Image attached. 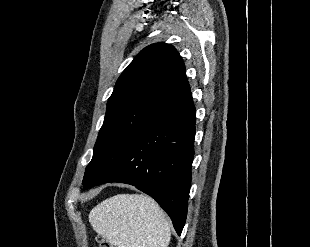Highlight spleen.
<instances>
[{"label": "spleen", "instance_id": "1", "mask_svg": "<svg viewBox=\"0 0 310 247\" xmlns=\"http://www.w3.org/2000/svg\"><path fill=\"white\" fill-rule=\"evenodd\" d=\"M93 229L116 247H168L171 229L160 206L143 194H117L89 214Z\"/></svg>", "mask_w": 310, "mask_h": 247}]
</instances>
